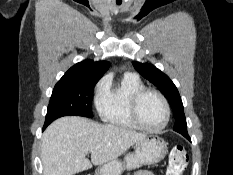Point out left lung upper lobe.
<instances>
[{
	"label": "left lung upper lobe",
	"instance_id": "1",
	"mask_svg": "<svg viewBox=\"0 0 233 175\" xmlns=\"http://www.w3.org/2000/svg\"><path fill=\"white\" fill-rule=\"evenodd\" d=\"M132 64L143 77L157 86L165 95L175 115L176 122L173 129L184 137L189 138L182 100L174 83L166 74L162 73L152 64L138 62H133Z\"/></svg>",
	"mask_w": 233,
	"mask_h": 175
}]
</instances>
